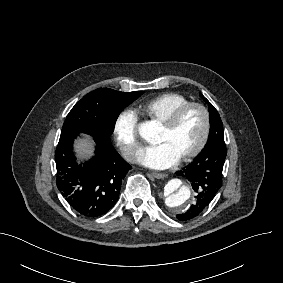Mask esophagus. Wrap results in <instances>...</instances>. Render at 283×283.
<instances>
[{
  "label": "esophagus",
  "instance_id": "obj_1",
  "mask_svg": "<svg viewBox=\"0 0 283 283\" xmlns=\"http://www.w3.org/2000/svg\"><path fill=\"white\" fill-rule=\"evenodd\" d=\"M152 176L157 178V179H162L167 177V174L165 173H159V172H152Z\"/></svg>",
  "mask_w": 283,
  "mask_h": 283
}]
</instances>
